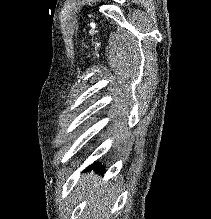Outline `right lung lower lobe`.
<instances>
[{
    "label": "right lung lower lobe",
    "mask_w": 211,
    "mask_h": 219,
    "mask_svg": "<svg viewBox=\"0 0 211 219\" xmlns=\"http://www.w3.org/2000/svg\"><path fill=\"white\" fill-rule=\"evenodd\" d=\"M89 168H93L96 170H100V171H105V168H103V166L101 164L98 163H93L92 165L89 166Z\"/></svg>",
    "instance_id": "obj_1"
}]
</instances>
